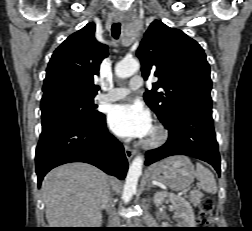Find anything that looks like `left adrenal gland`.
Instances as JSON below:
<instances>
[{"instance_id": "left-adrenal-gland-1", "label": "left adrenal gland", "mask_w": 252, "mask_h": 231, "mask_svg": "<svg viewBox=\"0 0 252 231\" xmlns=\"http://www.w3.org/2000/svg\"><path fill=\"white\" fill-rule=\"evenodd\" d=\"M152 186H153V185L151 184L150 180H148V184H147L146 190H147V191L150 190V188H151Z\"/></svg>"}]
</instances>
